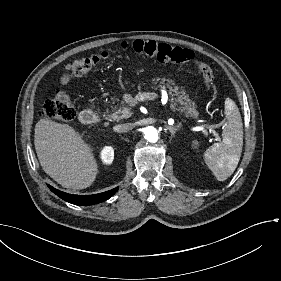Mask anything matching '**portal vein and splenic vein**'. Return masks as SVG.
Here are the masks:
<instances>
[{"label": "portal vein and splenic vein", "mask_w": 281, "mask_h": 281, "mask_svg": "<svg viewBox=\"0 0 281 281\" xmlns=\"http://www.w3.org/2000/svg\"><path fill=\"white\" fill-rule=\"evenodd\" d=\"M141 100H148V101H157L158 99L161 98L160 94H150V93H146L144 91H138L137 95L135 96ZM136 99H132L131 100V105L132 106H137L138 105V100ZM197 124L204 130L210 131L213 134V138L215 139L217 144L221 143V139L219 138V135L217 134L216 129L218 128H222L225 126V121L221 120L220 123L218 124H210V125H205L201 120L197 121Z\"/></svg>", "instance_id": "portal-vein-and-splenic-vein-1"}]
</instances>
